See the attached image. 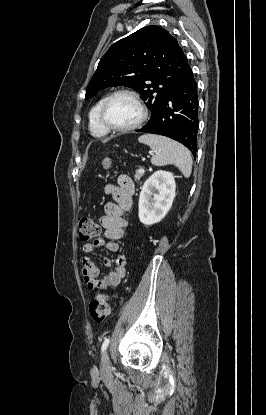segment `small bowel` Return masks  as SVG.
<instances>
[{
  "mask_svg": "<svg viewBox=\"0 0 266 415\" xmlns=\"http://www.w3.org/2000/svg\"><path fill=\"white\" fill-rule=\"evenodd\" d=\"M104 191L113 198V201L105 204V214L100 219L105 238H97L92 242L85 243L82 249L86 254H90L98 248H106L112 252L118 251L117 241L125 235L128 227V221L124 218V214L129 212L133 205L134 182L130 177L121 175L117 185L107 184ZM127 262V256L119 254L115 261V267L111 268V260L105 257L103 263L109 270L102 278H99V268L90 258L85 257L82 274L87 288L91 291L117 288L126 274Z\"/></svg>",
  "mask_w": 266,
  "mask_h": 415,
  "instance_id": "1",
  "label": "small bowel"
}]
</instances>
